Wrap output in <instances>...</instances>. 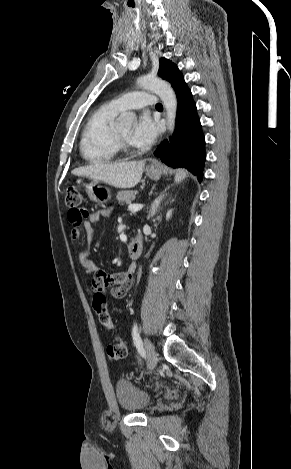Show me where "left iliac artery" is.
<instances>
[{
	"instance_id": "1",
	"label": "left iliac artery",
	"mask_w": 291,
	"mask_h": 469,
	"mask_svg": "<svg viewBox=\"0 0 291 469\" xmlns=\"http://www.w3.org/2000/svg\"><path fill=\"white\" fill-rule=\"evenodd\" d=\"M132 337H133L134 344H135L139 354L142 357H146L145 350L143 348V342H142V339H141V337L139 335V332H138L137 323H134V326L132 328Z\"/></svg>"
}]
</instances>
